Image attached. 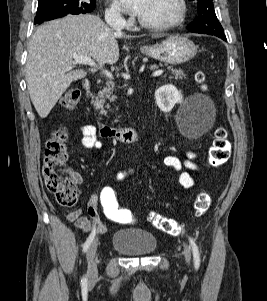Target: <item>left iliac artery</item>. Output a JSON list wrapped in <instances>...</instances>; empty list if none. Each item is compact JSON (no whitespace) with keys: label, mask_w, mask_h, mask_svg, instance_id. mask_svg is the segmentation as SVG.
Listing matches in <instances>:
<instances>
[{"label":"left iliac artery","mask_w":267,"mask_h":301,"mask_svg":"<svg viewBox=\"0 0 267 301\" xmlns=\"http://www.w3.org/2000/svg\"><path fill=\"white\" fill-rule=\"evenodd\" d=\"M189 242H190V245H191L192 251H193L195 267H199L200 266V254H199L198 247H197L195 241L191 237H189Z\"/></svg>","instance_id":"44dca946"}]
</instances>
